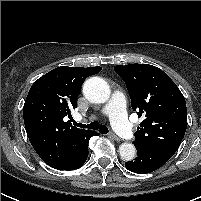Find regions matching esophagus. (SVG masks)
<instances>
[{
  "label": "esophagus",
  "mask_w": 201,
  "mask_h": 201,
  "mask_svg": "<svg viewBox=\"0 0 201 201\" xmlns=\"http://www.w3.org/2000/svg\"><path fill=\"white\" fill-rule=\"evenodd\" d=\"M108 137H109L110 139L115 140V141H120V138H119L115 133H113V132H110V133L108 134Z\"/></svg>",
  "instance_id": "obj_1"
}]
</instances>
